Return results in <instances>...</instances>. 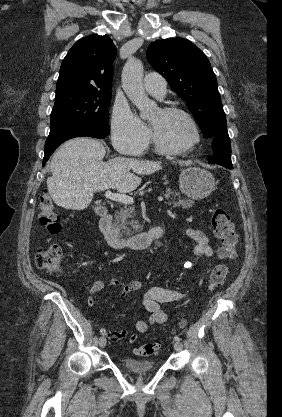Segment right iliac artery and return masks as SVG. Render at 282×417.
Returning <instances> with one entry per match:
<instances>
[{
    "instance_id": "obj_1",
    "label": "right iliac artery",
    "mask_w": 282,
    "mask_h": 417,
    "mask_svg": "<svg viewBox=\"0 0 282 417\" xmlns=\"http://www.w3.org/2000/svg\"><path fill=\"white\" fill-rule=\"evenodd\" d=\"M100 333H101V334H106V330H105L104 328H101V329H100Z\"/></svg>"
}]
</instances>
